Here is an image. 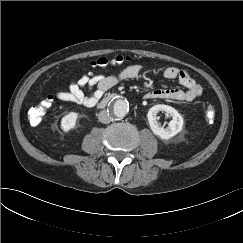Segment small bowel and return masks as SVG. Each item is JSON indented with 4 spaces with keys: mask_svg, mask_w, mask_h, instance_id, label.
Instances as JSON below:
<instances>
[{
    "mask_svg": "<svg viewBox=\"0 0 243 243\" xmlns=\"http://www.w3.org/2000/svg\"><path fill=\"white\" fill-rule=\"evenodd\" d=\"M147 68L143 65H130L114 75L97 74L89 76L82 75L73 81L67 91H59L56 96L59 100L71 102L83 107H93L103 94L117 85L121 81L130 80L138 77ZM163 76L169 80H178L185 88L181 90L173 89H152L145 94L146 99H167L180 102H192L202 94V87L192 78V76L181 69L168 67L163 70ZM92 91L87 95L84 89Z\"/></svg>",
    "mask_w": 243,
    "mask_h": 243,
    "instance_id": "obj_1",
    "label": "small bowel"
}]
</instances>
